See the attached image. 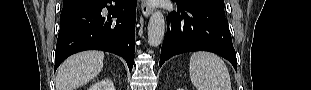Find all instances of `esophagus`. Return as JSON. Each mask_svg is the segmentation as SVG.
<instances>
[{
	"label": "esophagus",
	"instance_id": "obj_1",
	"mask_svg": "<svg viewBox=\"0 0 311 90\" xmlns=\"http://www.w3.org/2000/svg\"><path fill=\"white\" fill-rule=\"evenodd\" d=\"M141 10L144 17H148L152 13L153 7L150 0L141 1Z\"/></svg>",
	"mask_w": 311,
	"mask_h": 90
}]
</instances>
